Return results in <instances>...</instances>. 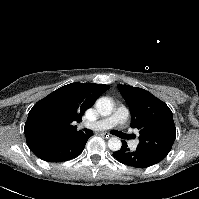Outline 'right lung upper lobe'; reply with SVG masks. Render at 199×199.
Instances as JSON below:
<instances>
[{
  "mask_svg": "<svg viewBox=\"0 0 199 199\" xmlns=\"http://www.w3.org/2000/svg\"><path fill=\"white\" fill-rule=\"evenodd\" d=\"M109 86L94 83H71L38 101L28 114L24 127L27 145L58 141L74 136L81 117Z\"/></svg>",
  "mask_w": 199,
  "mask_h": 199,
  "instance_id": "obj_1",
  "label": "right lung upper lobe"
}]
</instances>
